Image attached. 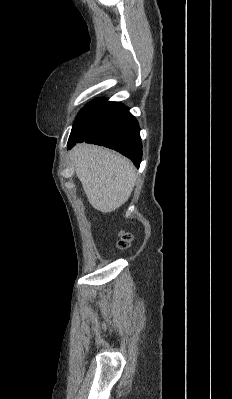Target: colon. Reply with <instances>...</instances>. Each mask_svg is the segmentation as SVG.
Wrapping results in <instances>:
<instances>
[{"label": "colon", "mask_w": 232, "mask_h": 399, "mask_svg": "<svg viewBox=\"0 0 232 399\" xmlns=\"http://www.w3.org/2000/svg\"><path fill=\"white\" fill-rule=\"evenodd\" d=\"M116 243L119 244L120 251H125L128 246H131V233H126L125 238L121 237V231H116Z\"/></svg>", "instance_id": "5ec220e1"}]
</instances>
